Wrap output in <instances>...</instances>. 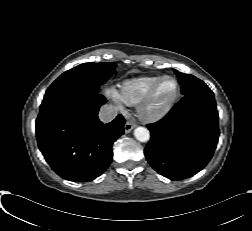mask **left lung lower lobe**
I'll return each mask as SVG.
<instances>
[{"label":"left lung lower lobe","mask_w":252,"mask_h":231,"mask_svg":"<svg viewBox=\"0 0 252 231\" xmlns=\"http://www.w3.org/2000/svg\"><path fill=\"white\" fill-rule=\"evenodd\" d=\"M147 127L151 139L144 153L152 168L172 180L193 176L210 161L218 142L213 92L184 95L162 120Z\"/></svg>","instance_id":"obj_1"}]
</instances>
